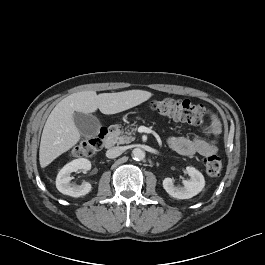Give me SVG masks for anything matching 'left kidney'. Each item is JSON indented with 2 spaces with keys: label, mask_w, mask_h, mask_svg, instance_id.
Here are the masks:
<instances>
[{
  "label": "left kidney",
  "mask_w": 265,
  "mask_h": 265,
  "mask_svg": "<svg viewBox=\"0 0 265 265\" xmlns=\"http://www.w3.org/2000/svg\"><path fill=\"white\" fill-rule=\"evenodd\" d=\"M186 170L190 180H184L182 187L175 186L171 178L163 180V188L170 196L177 199H189L203 190L205 179L202 173L191 166L186 167Z\"/></svg>",
  "instance_id": "1"
}]
</instances>
